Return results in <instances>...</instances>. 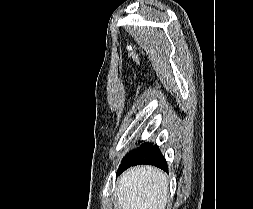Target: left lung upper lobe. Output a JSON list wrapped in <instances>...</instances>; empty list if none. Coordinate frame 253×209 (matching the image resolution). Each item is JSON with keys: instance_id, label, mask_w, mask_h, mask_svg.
<instances>
[{"instance_id": "obj_1", "label": "left lung upper lobe", "mask_w": 253, "mask_h": 209, "mask_svg": "<svg viewBox=\"0 0 253 209\" xmlns=\"http://www.w3.org/2000/svg\"><path fill=\"white\" fill-rule=\"evenodd\" d=\"M151 144L146 143V144H142L138 149L130 152L129 154H127L125 157L127 156H136L139 155L141 152H143L145 149H147Z\"/></svg>"}]
</instances>
